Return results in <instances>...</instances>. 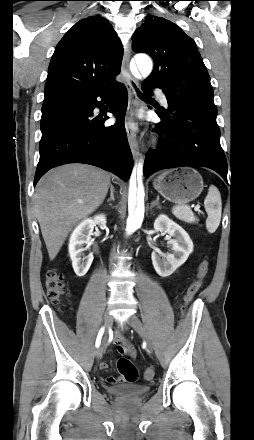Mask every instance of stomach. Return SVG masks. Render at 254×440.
Returning <instances> with one entry per match:
<instances>
[{"label": "stomach", "mask_w": 254, "mask_h": 440, "mask_svg": "<svg viewBox=\"0 0 254 440\" xmlns=\"http://www.w3.org/2000/svg\"><path fill=\"white\" fill-rule=\"evenodd\" d=\"M154 188L166 199L175 203H188L202 192V176L193 168H180L163 172L153 181Z\"/></svg>", "instance_id": "obj_1"}]
</instances>
